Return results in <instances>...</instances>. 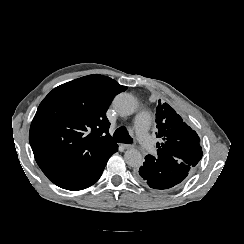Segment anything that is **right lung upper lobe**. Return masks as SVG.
<instances>
[{"label":"right lung upper lobe","mask_w":244,"mask_h":244,"mask_svg":"<svg viewBox=\"0 0 244 244\" xmlns=\"http://www.w3.org/2000/svg\"><path fill=\"white\" fill-rule=\"evenodd\" d=\"M126 89L109 77L92 74L62 84L44 98L31 123L29 141L45 175L116 145L108 132L106 111Z\"/></svg>","instance_id":"right-lung-upper-lobe-1"}]
</instances>
